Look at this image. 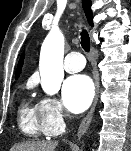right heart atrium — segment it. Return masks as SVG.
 <instances>
[{
	"instance_id": "right-heart-atrium-1",
	"label": "right heart atrium",
	"mask_w": 131,
	"mask_h": 151,
	"mask_svg": "<svg viewBox=\"0 0 131 151\" xmlns=\"http://www.w3.org/2000/svg\"><path fill=\"white\" fill-rule=\"evenodd\" d=\"M41 120L48 135H56L65 127L63 108L55 98L45 97L39 102Z\"/></svg>"
}]
</instances>
